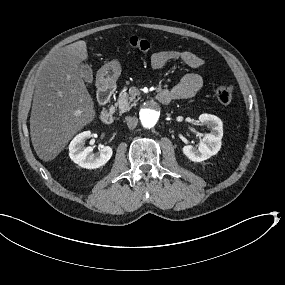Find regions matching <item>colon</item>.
<instances>
[{
	"label": "colon",
	"mask_w": 285,
	"mask_h": 285,
	"mask_svg": "<svg viewBox=\"0 0 285 285\" xmlns=\"http://www.w3.org/2000/svg\"><path fill=\"white\" fill-rule=\"evenodd\" d=\"M128 44L130 47L139 50L141 52H148L151 49L150 41L139 36L130 37L128 40ZM215 95L217 100L222 105H228L234 99L235 89L232 85L225 84L223 82H218L215 88Z\"/></svg>",
	"instance_id": "colon-1"
}]
</instances>
